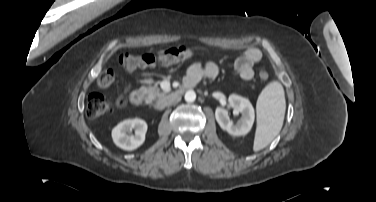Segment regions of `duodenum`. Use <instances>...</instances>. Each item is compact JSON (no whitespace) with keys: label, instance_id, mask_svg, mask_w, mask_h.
Wrapping results in <instances>:
<instances>
[{"label":"duodenum","instance_id":"410a0bca","mask_svg":"<svg viewBox=\"0 0 376 202\" xmlns=\"http://www.w3.org/2000/svg\"><path fill=\"white\" fill-rule=\"evenodd\" d=\"M190 87H192L191 84L184 83L179 89H177L172 94L166 95V96L160 98L158 100V106L163 107V106L169 104L171 101L180 98L184 94V92L187 89H189ZM143 99H144V97H143L142 92H140L138 90L132 91L129 95V101H130L131 105H133L135 107L141 106L142 103H143Z\"/></svg>","mask_w":376,"mask_h":202}]
</instances>
